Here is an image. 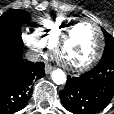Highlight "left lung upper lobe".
I'll return each mask as SVG.
<instances>
[{
    "label": "left lung upper lobe",
    "instance_id": "obj_1",
    "mask_svg": "<svg viewBox=\"0 0 114 114\" xmlns=\"http://www.w3.org/2000/svg\"><path fill=\"white\" fill-rule=\"evenodd\" d=\"M102 31L104 33L106 43L101 59H114V38L109 33H107L103 28Z\"/></svg>",
    "mask_w": 114,
    "mask_h": 114
}]
</instances>
